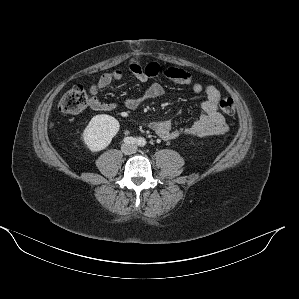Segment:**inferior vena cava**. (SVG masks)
Returning a JSON list of instances; mask_svg holds the SVG:
<instances>
[{"mask_svg":"<svg viewBox=\"0 0 299 299\" xmlns=\"http://www.w3.org/2000/svg\"><path fill=\"white\" fill-rule=\"evenodd\" d=\"M137 151V147L135 145H130V144H124L122 146V152L125 155H130L134 154Z\"/></svg>","mask_w":299,"mask_h":299,"instance_id":"1","label":"inferior vena cava"}]
</instances>
